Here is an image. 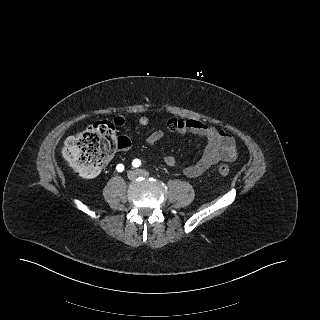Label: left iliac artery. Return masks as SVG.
<instances>
[{"mask_svg":"<svg viewBox=\"0 0 320 320\" xmlns=\"http://www.w3.org/2000/svg\"><path fill=\"white\" fill-rule=\"evenodd\" d=\"M132 165L134 167H139L141 165V161L139 159H134Z\"/></svg>","mask_w":320,"mask_h":320,"instance_id":"left-iliac-artery-1","label":"left iliac artery"}]
</instances>
